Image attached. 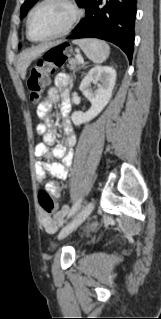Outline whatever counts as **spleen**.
<instances>
[{
  "instance_id": "3e777b00",
  "label": "spleen",
  "mask_w": 161,
  "mask_h": 319,
  "mask_svg": "<svg viewBox=\"0 0 161 319\" xmlns=\"http://www.w3.org/2000/svg\"><path fill=\"white\" fill-rule=\"evenodd\" d=\"M85 55L94 63L99 64L106 61L110 54L109 45L98 39H80L74 41Z\"/></svg>"
}]
</instances>
